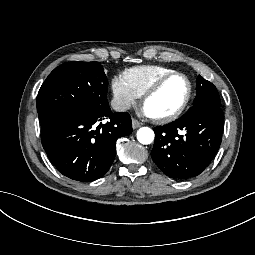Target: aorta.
<instances>
[{"label":"aorta","instance_id":"obj_1","mask_svg":"<svg viewBox=\"0 0 255 255\" xmlns=\"http://www.w3.org/2000/svg\"><path fill=\"white\" fill-rule=\"evenodd\" d=\"M137 139L141 144H150L154 140V132L148 127H142L137 131Z\"/></svg>","mask_w":255,"mask_h":255}]
</instances>
